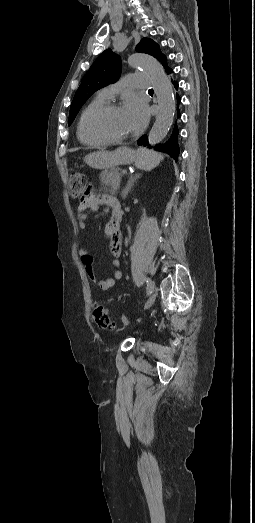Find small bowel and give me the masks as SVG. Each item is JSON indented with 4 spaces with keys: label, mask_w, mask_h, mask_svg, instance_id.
I'll list each match as a JSON object with an SVG mask.
<instances>
[{
    "label": "small bowel",
    "mask_w": 255,
    "mask_h": 523,
    "mask_svg": "<svg viewBox=\"0 0 255 523\" xmlns=\"http://www.w3.org/2000/svg\"><path fill=\"white\" fill-rule=\"evenodd\" d=\"M107 199L108 196L88 194L86 199L80 202L78 206V226L81 231H85L86 229V220L88 218L89 211L98 210L99 206L102 204L108 205ZM105 234L109 240L110 252L114 257L112 264L115 267H119L121 256V238L118 231V226L114 225L111 221L107 222L105 224ZM78 254L81 262L85 266V271L89 280L102 291H107L112 288L115 284V280L122 277V272L120 270H116L114 273V278L99 279L93 267V258L87 249L80 247L78 249Z\"/></svg>",
    "instance_id": "obj_1"
}]
</instances>
